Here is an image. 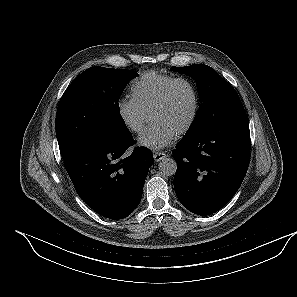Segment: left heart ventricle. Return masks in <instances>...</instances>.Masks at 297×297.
I'll list each match as a JSON object with an SVG mask.
<instances>
[{"label":"left heart ventricle","instance_id":"left-heart-ventricle-1","mask_svg":"<svg viewBox=\"0 0 297 297\" xmlns=\"http://www.w3.org/2000/svg\"><path fill=\"white\" fill-rule=\"evenodd\" d=\"M192 105L190 89L179 83L172 89L167 103L151 114L150 121L162 123L176 134L189 119Z\"/></svg>","mask_w":297,"mask_h":297}]
</instances>
